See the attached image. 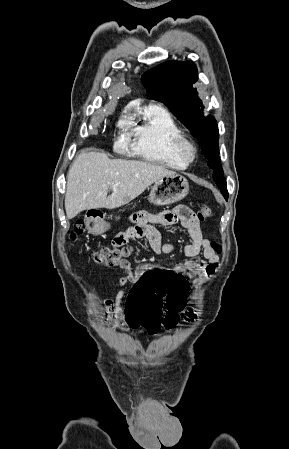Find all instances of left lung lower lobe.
<instances>
[{
  "mask_svg": "<svg viewBox=\"0 0 289 449\" xmlns=\"http://www.w3.org/2000/svg\"><path fill=\"white\" fill-rule=\"evenodd\" d=\"M225 199L227 200V199H228V196H225Z\"/></svg>",
  "mask_w": 289,
  "mask_h": 449,
  "instance_id": "1",
  "label": "left lung lower lobe"
}]
</instances>
